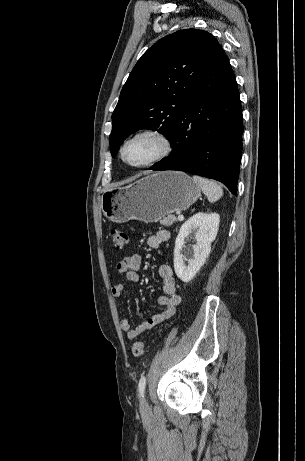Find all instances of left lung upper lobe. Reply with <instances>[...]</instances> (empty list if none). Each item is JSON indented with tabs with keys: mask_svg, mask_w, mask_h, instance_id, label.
<instances>
[{
	"mask_svg": "<svg viewBox=\"0 0 305 461\" xmlns=\"http://www.w3.org/2000/svg\"><path fill=\"white\" fill-rule=\"evenodd\" d=\"M222 51L213 35L197 29L177 31L149 48L130 73L112 114V156L139 129H158L170 139L191 91Z\"/></svg>",
	"mask_w": 305,
	"mask_h": 461,
	"instance_id": "obj_1",
	"label": "left lung upper lobe"
}]
</instances>
